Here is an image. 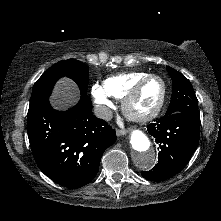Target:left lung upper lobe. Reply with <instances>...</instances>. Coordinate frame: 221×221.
<instances>
[{"instance_id": "left-lung-upper-lobe-1", "label": "left lung upper lobe", "mask_w": 221, "mask_h": 221, "mask_svg": "<svg viewBox=\"0 0 221 221\" xmlns=\"http://www.w3.org/2000/svg\"><path fill=\"white\" fill-rule=\"evenodd\" d=\"M173 83L171 101L165 114L187 113L190 117L200 121L198 100L190 81L178 71L166 67Z\"/></svg>"}]
</instances>
